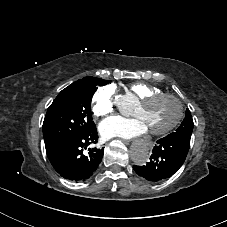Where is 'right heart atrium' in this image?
<instances>
[{
    "mask_svg": "<svg viewBox=\"0 0 227 227\" xmlns=\"http://www.w3.org/2000/svg\"><path fill=\"white\" fill-rule=\"evenodd\" d=\"M93 113L97 117L110 116L114 112V86L100 87L93 97Z\"/></svg>",
    "mask_w": 227,
    "mask_h": 227,
    "instance_id": "obj_1",
    "label": "right heart atrium"
}]
</instances>
